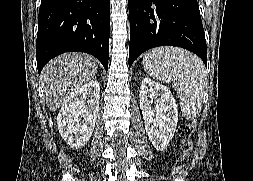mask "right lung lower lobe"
I'll list each match as a JSON object with an SVG mask.
<instances>
[{
	"label": "right lung lower lobe",
	"instance_id": "right-lung-lower-lobe-1",
	"mask_svg": "<svg viewBox=\"0 0 253 181\" xmlns=\"http://www.w3.org/2000/svg\"><path fill=\"white\" fill-rule=\"evenodd\" d=\"M110 0H41L36 59L38 72L55 56L92 54L108 70Z\"/></svg>",
	"mask_w": 253,
	"mask_h": 181
}]
</instances>
